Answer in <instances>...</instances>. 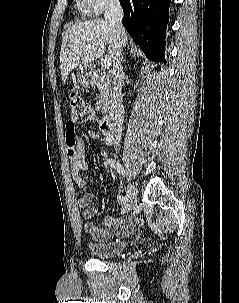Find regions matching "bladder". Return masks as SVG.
<instances>
[{
	"instance_id": "obj_1",
	"label": "bladder",
	"mask_w": 239,
	"mask_h": 303,
	"mask_svg": "<svg viewBox=\"0 0 239 303\" xmlns=\"http://www.w3.org/2000/svg\"><path fill=\"white\" fill-rule=\"evenodd\" d=\"M128 246V241L90 242L88 248L95 258H111L122 254Z\"/></svg>"
}]
</instances>
